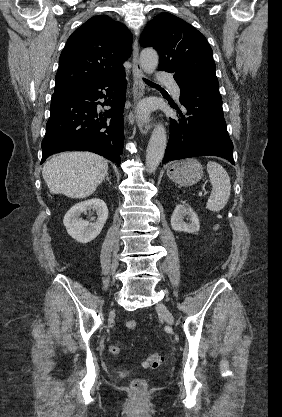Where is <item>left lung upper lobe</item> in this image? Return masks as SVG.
Listing matches in <instances>:
<instances>
[{"label": "left lung upper lobe", "instance_id": "obj_1", "mask_svg": "<svg viewBox=\"0 0 282 417\" xmlns=\"http://www.w3.org/2000/svg\"><path fill=\"white\" fill-rule=\"evenodd\" d=\"M140 45L157 50L158 69L174 73L176 82L190 77L217 80L212 49L204 35L170 13L158 14L147 23Z\"/></svg>", "mask_w": 282, "mask_h": 417}]
</instances>
